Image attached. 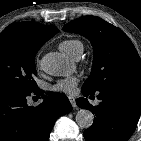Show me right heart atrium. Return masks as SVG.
<instances>
[{
	"mask_svg": "<svg viewBox=\"0 0 141 141\" xmlns=\"http://www.w3.org/2000/svg\"><path fill=\"white\" fill-rule=\"evenodd\" d=\"M36 62H37V65L39 66V63H40L39 58H37V61Z\"/></svg>",
	"mask_w": 141,
	"mask_h": 141,
	"instance_id": "obj_1",
	"label": "right heart atrium"
}]
</instances>
